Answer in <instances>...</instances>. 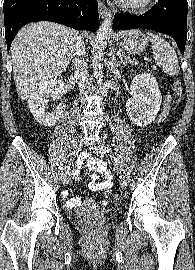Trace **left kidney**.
I'll return each instance as SVG.
<instances>
[{"label": "left kidney", "mask_w": 195, "mask_h": 270, "mask_svg": "<svg viewBox=\"0 0 195 270\" xmlns=\"http://www.w3.org/2000/svg\"><path fill=\"white\" fill-rule=\"evenodd\" d=\"M131 97L126 102V111L130 120L137 126L152 123L162 101L161 92L155 77L149 73L136 75L132 80Z\"/></svg>", "instance_id": "left-kidney-1"}]
</instances>
